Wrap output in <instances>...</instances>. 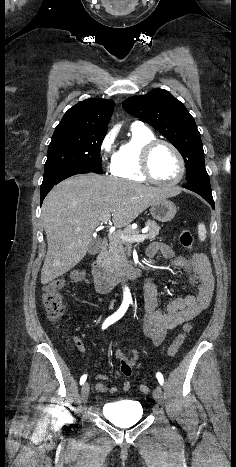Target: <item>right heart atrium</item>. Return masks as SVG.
<instances>
[{
    "label": "right heart atrium",
    "mask_w": 236,
    "mask_h": 467,
    "mask_svg": "<svg viewBox=\"0 0 236 467\" xmlns=\"http://www.w3.org/2000/svg\"><path fill=\"white\" fill-rule=\"evenodd\" d=\"M99 150L102 162L112 168L116 157L114 133L110 132L105 135L100 143Z\"/></svg>",
    "instance_id": "obj_1"
}]
</instances>
